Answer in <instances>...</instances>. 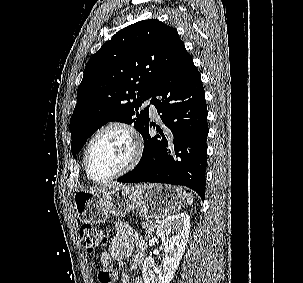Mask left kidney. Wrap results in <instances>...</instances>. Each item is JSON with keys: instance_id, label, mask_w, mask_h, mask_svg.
Listing matches in <instances>:
<instances>
[{"instance_id": "left-kidney-1", "label": "left kidney", "mask_w": 303, "mask_h": 283, "mask_svg": "<svg viewBox=\"0 0 303 283\" xmlns=\"http://www.w3.org/2000/svg\"><path fill=\"white\" fill-rule=\"evenodd\" d=\"M190 232V218L181 213L163 220L156 230L161 240L165 258L159 267H155L151 257L143 264L144 283H170L185 251ZM172 233V236H168Z\"/></svg>"}]
</instances>
